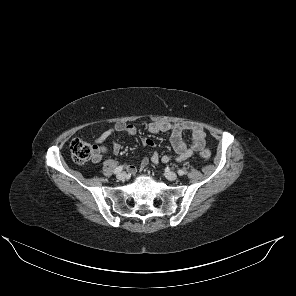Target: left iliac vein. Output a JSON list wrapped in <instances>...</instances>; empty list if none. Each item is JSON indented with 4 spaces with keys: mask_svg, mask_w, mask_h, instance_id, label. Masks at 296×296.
I'll return each instance as SVG.
<instances>
[{
    "mask_svg": "<svg viewBox=\"0 0 296 296\" xmlns=\"http://www.w3.org/2000/svg\"><path fill=\"white\" fill-rule=\"evenodd\" d=\"M165 177L170 181H174L177 179V174L173 171L166 170Z\"/></svg>",
    "mask_w": 296,
    "mask_h": 296,
    "instance_id": "4c4485c4",
    "label": "left iliac vein"
}]
</instances>
